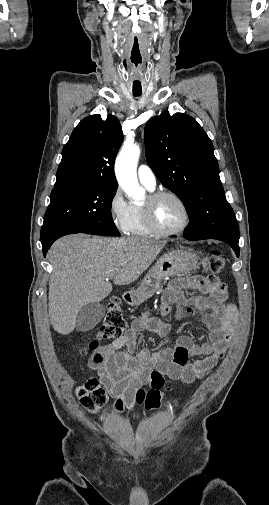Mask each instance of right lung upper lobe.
I'll use <instances>...</instances> for the list:
<instances>
[{
    "label": "right lung upper lobe",
    "mask_w": 269,
    "mask_h": 505,
    "mask_svg": "<svg viewBox=\"0 0 269 505\" xmlns=\"http://www.w3.org/2000/svg\"><path fill=\"white\" fill-rule=\"evenodd\" d=\"M123 142L119 120L91 115L77 125L63 147L54 187L69 184L116 186L114 162Z\"/></svg>",
    "instance_id": "1"
}]
</instances>
